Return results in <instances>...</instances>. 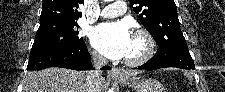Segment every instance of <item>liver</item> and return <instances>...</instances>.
<instances>
[{"label":"liver","instance_id":"liver-1","mask_svg":"<svg viewBox=\"0 0 225 92\" xmlns=\"http://www.w3.org/2000/svg\"><path fill=\"white\" fill-rule=\"evenodd\" d=\"M141 71L125 73L135 76ZM89 72L61 68H48L28 72L23 79V92H90L87 77ZM97 92H104L105 78L101 75Z\"/></svg>","mask_w":225,"mask_h":92}]
</instances>
